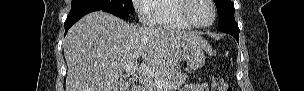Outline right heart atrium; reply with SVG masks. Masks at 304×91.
Returning a JSON list of instances; mask_svg holds the SVG:
<instances>
[{
	"instance_id": "1",
	"label": "right heart atrium",
	"mask_w": 304,
	"mask_h": 91,
	"mask_svg": "<svg viewBox=\"0 0 304 91\" xmlns=\"http://www.w3.org/2000/svg\"><path fill=\"white\" fill-rule=\"evenodd\" d=\"M152 2V0H135L134 5L135 9L138 13V17L142 21H146L150 19L149 11H148V6Z\"/></svg>"
}]
</instances>
